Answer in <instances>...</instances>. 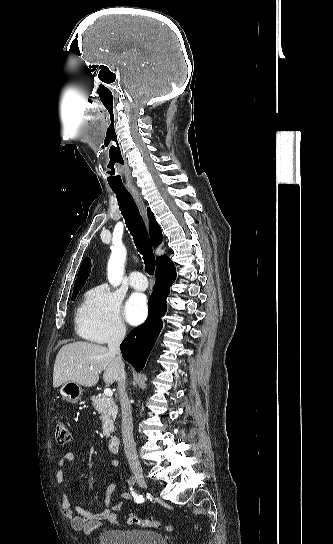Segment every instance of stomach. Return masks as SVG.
Wrapping results in <instances>:
<instances>
[{"instance_id": "1", "label": "stomach", "mask_w": 333, "mask_h": 544, "mask_svg": "<svg viewBox=\"0 0 333 544\" xmlns=\"http://www.w3.org/2000/svg\"><path fill=\"white\" fill-rule=\"evenodd\" d=\"M59 394L63 400L69 403H77L83 394L81 386L73 381H67L62 384Z\"/></svg>"}]
</instances>
